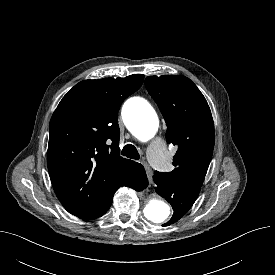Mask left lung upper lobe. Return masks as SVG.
<instances>
[{
	"label": "left lung upper lobe",
	"instance_id": "1",
	"mask_svg": "<svg viewBox=\"0 0 275 275\" xmlns=\"http://www.w3.org/2000/svg\"><path fill=\"white\" fill-rule=\"evenodd\" d=\"M145 85L166 121L167 142L178 147L175 168L165 174L175 182L201 188L214 148V123L206 99L181 75L149 76Z\"/></svg>",
	"mask_w": 275,
	"mask_h": 275
}]
</instances>
